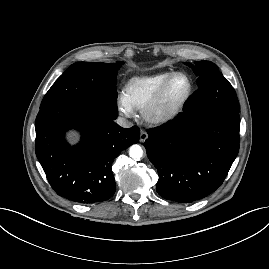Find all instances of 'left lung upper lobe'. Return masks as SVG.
<instances>
[{
    "label": "left lung upper lobe",
    "mask_w": 269,
    "mask_h": 269,
    "mask_svg": "<svg viewBox=\"0 0 269 269\" xmlns=\"http://www.w3.org/2000/svg\"><path fill=\"white\" fill-rule=\"evenodd\" d=\"M192 67L198 78V89L186 101L184 118L194 117L217 110L239 111L236 93L229 81L222 75L218 67L210 61L185 63Z\"/></svg>",
    "instance_id": "5c2ea615"
}]
</instances>
